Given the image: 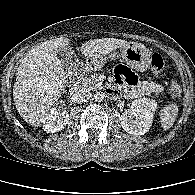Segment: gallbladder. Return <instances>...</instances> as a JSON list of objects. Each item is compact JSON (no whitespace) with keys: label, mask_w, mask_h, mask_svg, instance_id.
Returning <instances> with one entry per match:
<instances>
[{"label":"gallbladder","mask_w":195,"mask_h":195,"mask_svg":"<svg viewBox=\"0 0 195 195\" xmlns=\"http://www.w3.org/2000/svg\"><path fill=\"white\" fill-rule=\"evenodd\" d=\"M57 55L64 68L72 70L76 66L78 58L74 50H72V48L70 47L59 48L57 50Z\"/></svg>","instance_id":"1"}]
</instances>
